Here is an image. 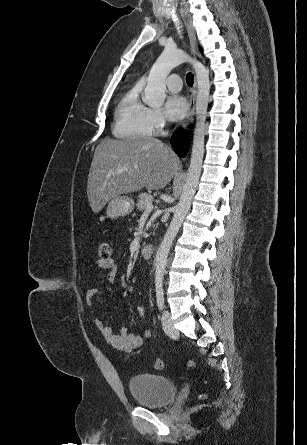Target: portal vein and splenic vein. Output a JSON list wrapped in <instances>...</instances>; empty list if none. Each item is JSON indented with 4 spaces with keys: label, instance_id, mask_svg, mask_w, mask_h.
Returning a JSON list of instances; mask_svg holds the SVG:
<instances>
[{
    "label": "portal vein and splenic vein",
    "instance_id": "18ae733b",
    "mask_svg": "<svg viewBox=\"0 0 307 445\" xmlns=\"http://www.w3.org/2000/svg\"><path fill=\"white\" fill-rule=\"evenodd\" d=\"M119 172H122V170H110V174H119ZM153 202H149V204H147L142 216H145V214H149V212H151V210H153Z\"/></svg>",
    "mask_w": 307,
    "mask_h": 445
}]
</instances>
